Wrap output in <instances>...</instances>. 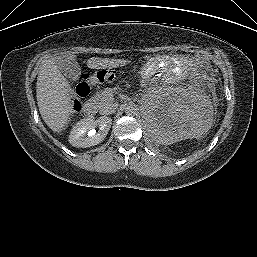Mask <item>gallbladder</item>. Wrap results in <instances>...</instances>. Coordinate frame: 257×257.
<instances>
[{"label":"gallbladder","instance_id":"bac80fb5","mask_svg":"<svg viewBox=\"0 0 257 257\" xmlns=\"http://www.w3.org/2000/svg\"><path fill=\"white\" fill-rule=\"evenodd\" d=\"M56 65L61 73L68 80H77L81 76V68L79 63L68 54H59L56 57Z\"/></svg>","mask_w":257,"mask_h":257}]
</instances>
